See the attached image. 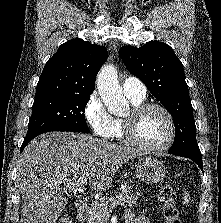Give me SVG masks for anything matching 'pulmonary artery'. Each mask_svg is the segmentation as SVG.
<instances>
[{"instance_id": "e3ab8cb5", "label": "pulmonary artery", "mask_w": 221, "mask_h": 223, "mask_svg": "<svg viewBox=\"0 0 221 223\" xmlns=\"http://www.w3.org/2000/svg\"><path fill=\"white\" fill-rule=\"evenodd\" d=\"M122 89L128 97H146V87L144 83L136 77H127L122 82Z\"/></svg>"}]
</instances>
